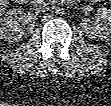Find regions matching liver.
<instances>
[{"label":"liver","instance_id":"1","mask_svg":"<svg viewBox=\"0 0 111 106\" xmlns=\"http://www.w3.org/2000/svg\"><path fill=\"white\" fill-rule=\"evenodd\" d=\"M8 4V1L7 0H1L0 2V6H1V9H4Z\"/></svg>","mask_w":111,"mask_h":106}]
</instances>
